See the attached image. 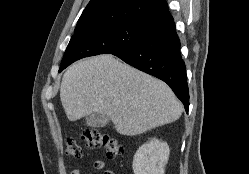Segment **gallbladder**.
<instances>
[{"label": "gallbladder", "instance_id": "obj_1", "mask_svg": "<svg viewBox=\"0 0 249 174\" xmlns=\"http://www.w3.org/2000/svg\"><path fill=\"white\" fill-rule=\"evenodd\" d=\"M109 123V117L102 113H91L86 116V124L93 128L104 127Z\"/></svg>", "mask_w": 249, "mask_h": 174}]
</instances>
